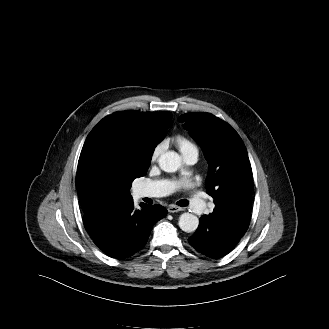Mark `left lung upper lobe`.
<instances>
[{
	"mask_svg": "<svg viewBox=\"0 0 329 329\" xmlns=\"http://www.w3.org/2000/svg\"><path fill=\"white\" fill-rule=\"evenodd\" d=\"M178 120L202 147L208 160L205 187L214 199L215 208L227 207L251 194L252 169L237 132L210 113H187Z\"/></svg>",
	"mask_w": 329,
	"mask_h": 329,
	"instance_id": "left-lung-upper-lobe-1",
	"label": "left lung upper lobe"
}]
</instances>
